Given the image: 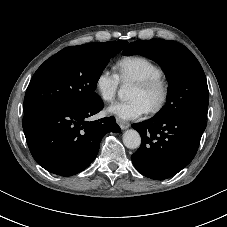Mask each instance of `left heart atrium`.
Here are the masks:
<instances>
[{"label":"left heart atrium","mask_w":227,"mask_h":227,"mask_svg":"<svg viewBox=\"0 0 227 227\" xmlns=\"http://www.w3.org/2000/svg\"><path fill=\"white\" fill-rule=\"evenodd\" d=\"M107 112L121 120H133L145 115L148 112V108L142 100L131 99L112 103L107 108Z\"/></svg>","instance_id":"39dd6f15"}]
</instances>
